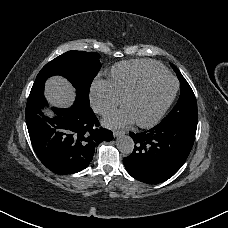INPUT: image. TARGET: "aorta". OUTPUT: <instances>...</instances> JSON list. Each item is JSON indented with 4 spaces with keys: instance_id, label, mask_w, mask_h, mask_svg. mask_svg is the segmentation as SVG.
<instances>
[{
    "instance_id": "762f6f07",
    "label": "aorta",
    "mask_w": 228,
    "mask_h": 228,
    "mask_svg": "<svg viewBox=\"0 0 228 228\" xmlns=\"http://www.w3.org/2000/svg\"><path fill=\"white\" fill-rule=\"evenodd\" d=\"M116 145L118 150L126 155H129L133 152L134 141L130 136L123 135L117 138Z\"/></svg>"
}]
</instances>
